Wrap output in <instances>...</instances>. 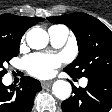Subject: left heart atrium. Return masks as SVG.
<instances>
[{
    "mask_svg": "<svg viewBox=\"0 0 112 112\" xmlns=\"http://www.w3.org/2000/svg\"><path fill=\"white\" fill-rule=\"evenodd\" d=\"M64 61L63 55L34 53L24 59V65L31 75L45 78L51 76Z\"/></svg>",
    "mask_w": 112,
    "mask_h": 112,
    "instance_id": "1",
    "label": "left heart atrium"
}]
</instances>
